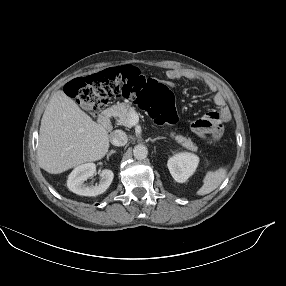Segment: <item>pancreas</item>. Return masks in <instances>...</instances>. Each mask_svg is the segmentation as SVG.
<instances>
[{"instance_id":"1","label":"pancreas","mask_w":286,"mask_h":286,"mask_svg":"<svg viewBox=\"0 0 286 286\" xmlns=\"http://www.w3.org/2000/svg\"><path fill=\"white\" fill-rule=\"evenodd\" d=\"M113 116L117 119V122L126 127H132L130 124L131 114L135 112V108L129 103H117L111 107ZM170 136L181 144L184 148L196 151L197 146L191 141V139L183 137L182 135H176L171 133Z\"/></svg>"}]
</instances>
